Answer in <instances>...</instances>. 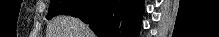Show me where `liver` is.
<instances>
[{
	"label": "liver",
	"instance_id": "liver-1",
	"mask_svg": "<svg viewBox=\"0 0 219 37\" xmlns=\"http://www.w3.org/2000/svg\"><path fill=\"white\" fill-rule=\"evenodd\" d=\"M47 37H95L90 28L77 18L55 17L48 26Z\"/></svg>",
	"mask_w": 219,
	"mask_h": 37
}]
</instances>
